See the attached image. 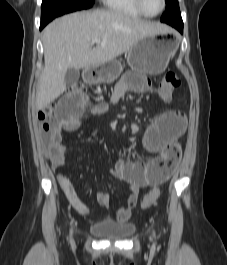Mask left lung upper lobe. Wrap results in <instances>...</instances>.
Listing matches in <instances>:
<instances>
[{"instance_id":"1","label":"left lung upper lobe","mask_w":227,"mask_h":265,"mask_svg":"<svg viewBox=\"0 0 227 265\" xmlns=\"http://www.w3.org/2000/svg\"><path fill=\"white\" fill-rule=\"evenodd\" d=\"M165 2H166V11L162 15L161 21L167 24L183 23L178 1L165 0Z\"/></svg>"}]
</instances>
